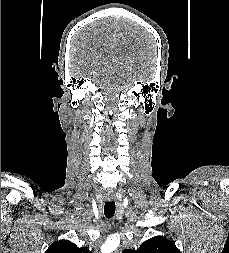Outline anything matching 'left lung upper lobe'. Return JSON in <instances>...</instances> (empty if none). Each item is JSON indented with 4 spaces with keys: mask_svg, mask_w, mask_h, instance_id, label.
<instances>
[{
    "mask_svg": "<svg viewBox=\"0 0 229 253\" xmlns=\"http://www.w3.org/2000/svg\"><path fill=\"white\" fill-rule=\"evenodd\" d=\"M122 253H181L174 242L162 236H155L142 243L137 250H124Z\"/></svg>",
    "mask_w": 229,
    "mask_h": 253,
    "instance_id": "1",
    "label": "left lung upper lobe"
}]
</instances>
